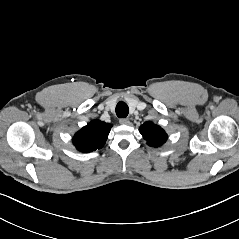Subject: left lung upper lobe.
Wrapping results in <instances>:
<instances>
[{"label": "left lung upper lobe", "mask_w": 239, "mask_h": 239, "mask_svg": "<svg viewBox=\"0 0 239 239\" xmlns=\"http://www.w3.org/2000/svg\"><path fill=\"white\" fill-rule=\"evenodd\" d=\"M147 144L152 147H159L167 140L166 132L153 122H146L139 129Z\"/></svg>", "instance_id": "1"}]
</instances>
